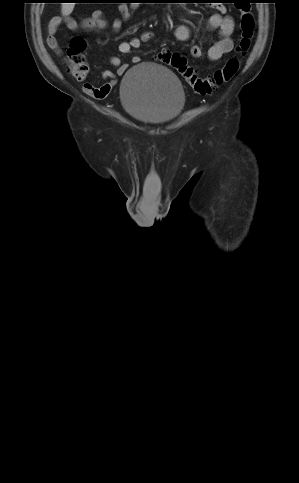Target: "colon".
Returning <instances> with one entry per match:
<instances>
[{"label": "colon", "instance_id": "colon-1", "mask_svg": "<svg viewBox=\"0 0 299 483\" xmlns=\"http://www.w3.org/2000/svg\"><path fill=\"white\" fill-rule=\"evenodd\" d=\"M241 11L240 38L236 46L237 55L229 58L224 66L218 69L212 76H199L196 70L188 64L183 55L171 50L161 51L157 56L158 60L177 70L197 94L202 96L212 94L236 75L240 68L242 58L250 49L254 34L255 20L249 9H241ZM85 46V40L77 37L71 41L66 52L67 70L73 78L79 81H83L89 71L88 64L83 54Z\"/></svg>", "mask_w": 299, "mask_h": 483}]
</instances>
